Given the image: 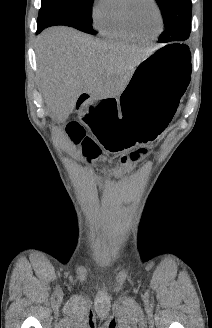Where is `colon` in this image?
Instances as JSON below:
<instances>
[{
	"mask_svg": "<svg viewBox=\"0 0 212 328\" xmlns=\"http://www.w3.org/2000/svg\"><path fill=\"white\" fill-rule=\"evenodd\" d=\"M65 131L70 137L72 143L81 150L85 160L92 162L103 158V146H99L98 140H95L94 137L87 134L82 124L77 121L69 122L65 127ZM145 153L146 149L140 148L133 153H126L125 155L121 154L120 156H117V158L111 157L110 161L121 163L119 165L120 169H128L130 162H135L136 159L140 158ZM99 168L102 172L106 171L103 164H100ZM109 168L114 169L115 165L110 164Z\"/></svg>",
	"mask_w": 212,
	"mask_h": 328,
	"instance_id": "5ec220e1",
	"label": "colon"
}]
</instances>
